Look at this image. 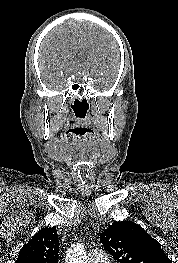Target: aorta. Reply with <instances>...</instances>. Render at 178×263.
I'll use <instances>...</instances> for the list:
<instances>
[{
    "instance_id": "obj_1",
    "label": "aorta",
    "mask_w": 178,
    "mask_h": 263,
    "mask_svg": "<svg viewBox=\"0 0 178 263\" xmlns=\"http://www.w3.org/2000/svg\"><path fill=\"white\" fill-rule=\"evenodd\" d=\"M66 263H88L86 252L82 244L73 245L66 256Z\"/></svg>"
}]
</instances>
